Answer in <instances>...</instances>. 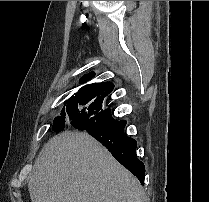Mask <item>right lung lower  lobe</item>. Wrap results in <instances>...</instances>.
Masks as SVG:
<instances>
[{
	"label": "right lung lower lobe",
	"instance_id": "1",
	"mask_svg": "<svg viewBox=\"0 0 209 202\" xmlns=\"http://www.w3.org/2000/svg\"><path fill=\"white\" fill-rule=\"evenodd\" d=\"M110 82L86 85L80 90V112L71 118L72 126L88 132L101 142L124 167L144 185L145 166L136 156L137 143L124 133L125 120H115L110 109L104 110V97L112 92Z\"/></svg>",
	"mask_w": 209,
	"mask_h": 202
}]
</instances>
